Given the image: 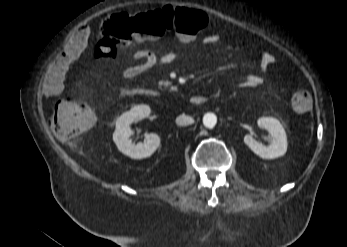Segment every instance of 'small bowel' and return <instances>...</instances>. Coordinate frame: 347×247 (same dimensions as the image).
<instances>
[{
	"instance_id": "small-bowel-1",
	"label": "small bowel",
	"mask_w": 347,
	"mask_h": 247,
	"mask_svg": "<svg viewBox=\"0 0 347 247\" xmlns=\"http://www.w3.org/2000/svg\"><path fill=\"white\" fill-rule=\"evenodd\" d=\"M89 31L87 26L81 27L74 32L68 42V47L64 50L63 54L54 60L46 70V84L47 91L51 94H56L60 90V77L63 72L68 68L73 57L82 51L88 41ZM220 40L219 35L209 34L204 37V43L208 45L217 44ZM133 59L137 60V63L124 67L121 70V76L124 79H133L143 74L156 63L170 64L176 60V54L174 52H166L160 56H157L154 52L141 49L136 50L132 54ZM260 68L262 73H270L274 64L275 57L269 52H262L260 54ZM264 78L257 73L249 74L243 80V84L248 87H258L262 85Z\"/></svg>"
}]
</instances>
